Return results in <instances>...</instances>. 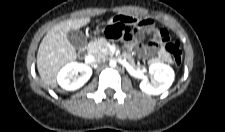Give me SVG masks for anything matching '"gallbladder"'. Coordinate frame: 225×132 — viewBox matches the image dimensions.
I'll use <instances>...</instances> for the list:
<instances>
[{"instance_id": "bac80fb5", "label": "gallbladder", "mask_w": 225, "mask_h": 132, "mask_svg": "<svg viewBox=\"0 0 225 132\" xmlns=\"http://www.w3.org/2000/svg\"><path fill=\"white\" fill-rule=\"evenodd\" d=\"M69 42L78 50H81L87 45V37L80 30H70L67 32Z\"/></svg>"}]
</instances>
